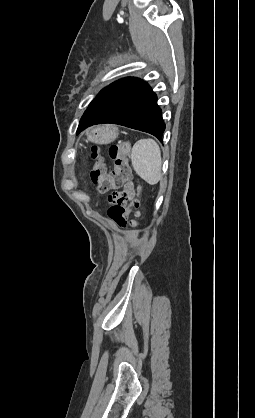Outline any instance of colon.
Masks as SVG:
<instances>
[{
	"mask_svg": "<svg viewBox=\"0 0 255 418\" xmlns=\"http://www.w3.org/2000/svg\"><path fill=\"white\" fill-rule=\"evenodd\" d=\"M93 159H98L97 148L92 149ZM109 156L113 161L114 168L111 172H106L101 163H97L91 172L92 181L97 185L102 193L117 189L127 182L132 176L130 165V145L126 142L112 145L109 149ZM141 187H137V195L127 204V197L124 194H113L110 197L112 206L108 211L109 217L120 227L127 224V216L131 209L138 210L140 207L139 196Z\"/></svg>",
	"mask_w": 255,
	"mask_h": 418,
	"instance_id": "1",
	"label": "colon"
}]
</instances>
